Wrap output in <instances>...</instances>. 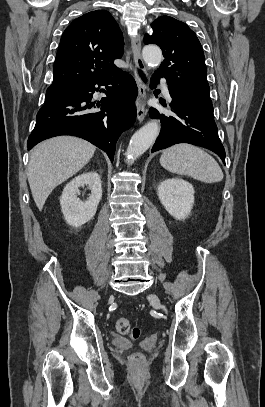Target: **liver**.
Instances as JSON below:
<instances>
[{
  "mask_svg": "<svg viewBox=\"0 0 265 407\" xmlns=\"http://www.w3.org/2000/svg\"><path fill=\"white\" fill-rule=\"evenodd\" d=\"M96 147L78 137L58 136L38 144L30 153L28 182L41 211L50 193L81 170Z\"/></svg>",
  "mask_w": 265,
  "mask_h": 407,
  "instance_id": "obj_1",
  "label": "liver"
}]
</instances>
